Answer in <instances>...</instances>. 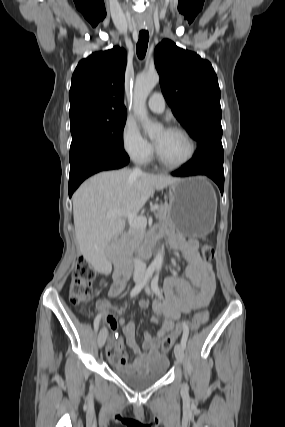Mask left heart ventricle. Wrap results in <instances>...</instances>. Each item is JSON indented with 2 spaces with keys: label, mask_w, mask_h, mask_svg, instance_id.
<instances>
[{
  "label": "left heart ventricle",
  "mask_w": 285,
  "mask_h": 427,
  "mask_svg": "<svg viewBox=\"0 0 285 427\" xmlns=\"http://www.w3.org/2000/svg\"><path fill=\"white\" fill-rule=\"evenodd\" d=\"M153 140L160 156L167 162L177 163L188 154L189 144L179 133L161 130Z\"/></svg>",
  "instance_id": "left-heart-ventricle-1"
}]
</instances>
